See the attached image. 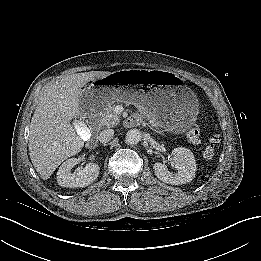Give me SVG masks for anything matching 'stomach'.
I'll return each instance as SVG.
<instances>
[{"label":"stomach","mask_w":261,"mask_h":261,"mask_svg":"<svg viewBox=\"0 0 261 261\" xmlns=\"http://www.w3.org/2000/svg\"><path fill=\"white\" fill-rule=\"evenodd\" d=\"M133 102L155 114L158 125L174 133L184 132L195 122V94L172 72L129 69L95 80L81 95V106L91 112L104 110L111 102Z\"/></svg>","instance_id":"0dacf381"}]
</instances>
